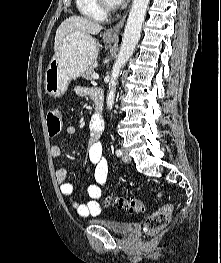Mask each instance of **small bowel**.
Masks as SVG:
<instances>
[{
    "mask_svg": "<svg viewBox=\"0 0 221 263\" xmlns=\"http://www.w3.org/2000/svg\"><path fill=\"white\" fill-rule=\"evenodd\" d=\"M75 92L79 96H93L95 92H101L98 89L88 90L83 87H77ZM90 137L87 143V159L90 162V166L86 167L85 171L92 170L95 178V184H86L85 190L89 197L87 203H82L77 197L73 196L74 187L67 181L68 170L64 167H60L56 171V180L60 186L62 195L70 197V205L76 209L80 216H94L100 214L102 210L99 200L102 196L101 187L107 182L108 177V162L103 152V146L101 142L102 128H96L93 121L90 125ZM76 127L73 125H67L65 132L68 135L76 134ZM51 155L54 158H59L61 155V149L58 145H52L50 149Z\"/></svg>",
    "mask_w": 221,
    "mask_h": 263,
    "instance_id": "c3829d8e",
    "label": "small bowel"
}]
</instances>
